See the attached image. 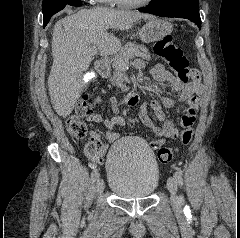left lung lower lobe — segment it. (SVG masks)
<instances>
[{
  "label": "left lung lower lobe",
  "instance_id": "1",
  "mask_svg": "<svg viewBox=\"0 0 240 238\" xmlns=\"http://www.w3.org/2000/svg\"><path fill=\"white\" fill-rule=\"evenodd\" d=\"M139 11L160 17H178L193 21L201 29L198 0H164Z\"/></svg>",
  "mask_w": 240,
  "mask_h": 238
}]
</instances>
